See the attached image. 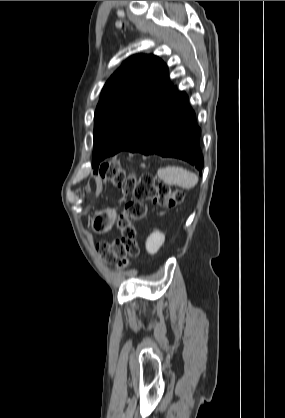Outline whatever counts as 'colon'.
<instances>
[{
    "instance_id": "colon-1",
    "label": "colon",
    "mask_w": 285,
    "mask_h": 418,
    "mask_svg": "<svg viewBox=\"0 0 285 418\" xmlns=\"http://www.w3.org/2000/svg\"><path fill=\"white\" fill-rule=\"evenodd\" d=\"M98 175L104 181H111L131 192L130 200L118 219L117 227L120 236L111 241H102L97 246L98 255L106 261H113L118 257L123 258L121 266L127 264V259L138 258L141 249L138 244V230L135 223L143 220L148 212V202L164 209H173L178 206L183 193L165 184L156 185L150 174H143L138 181H134L121 168L118 161H113L101 166Z\"/></svg>"
}]
</instances>
